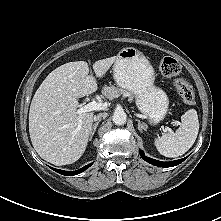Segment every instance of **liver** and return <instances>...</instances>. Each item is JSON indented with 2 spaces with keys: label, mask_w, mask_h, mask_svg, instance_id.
<instances>
[{
  "label": "liver",
  "mask_w": 221,
  "mask_h": 221,
  "mask_svg": "<svg viewBox=\"0 0 221 221\" xmlns=\"http://www.w3.org/2000/svg\"><path fill=\"white\" fill-rule=\"evenodd\" d=\"M116 57L93 64L102 78ZM97 89L85 61L63 64L53 70L35 92L29 111V133L39 156L56 166L72 164L85 152L93 123V112L78 114V99Z\"/></svg>",
  "instance_id": "obj_1"
}]
</instances>
